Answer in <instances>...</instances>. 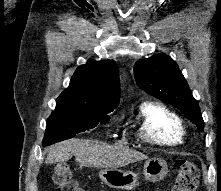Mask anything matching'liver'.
Wrapping results in <instances>:
<instances>
[{
  "instance_id": "obj_1",
  "label": "liver",
  "mask_w": 221,
  "mask_h": 191,
  "mask_svg": "<svg viewBox=\"0 0 221 191\" xmlns=\"http://www.w3.org/2000/svg\"><path fill=\"white\" fill-rule=\"evenodd\" d=\"M72 156L81 166L119 168L147 159V156L124 148L86 139H71L52 146L46 158L49 164L64 162Z\"/></svg>"
}]
</instances>
